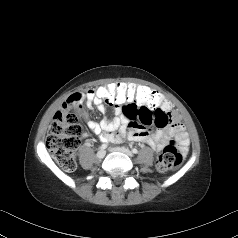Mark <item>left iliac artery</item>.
<instances>
[{"label": "left iliac artery", "mask_w": 238, "mask_h": 238, "mask_svg": "<svg viewBox=\"0 0 238 238\" xmlns=\"http://www.w3.org/2000/svg\"><path fill=\"white\" fill-rule=\"evenodd\" d=\"M132 152H133L134 154H137V153H138V150L135 149V148H133V149H132Z\"/></svg>", "instance_id": "1"}]
</instances>
